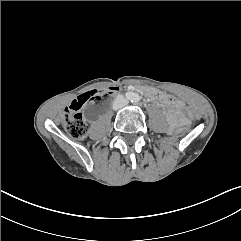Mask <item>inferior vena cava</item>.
Returning <instances> with one entry per match:
<instances>
[{
	"instance_id": "602c4592",
	"label": "inferior vena cava",
	"mask_w": 241,
	"mask_h": 241,
	"mask_svg": "<svg viewBox=\"0 0 241 241\" xmlns=\"http://www.w3.org/2000/svg\"><path fill=\"white\" fill-rule=\"evenodd\" d=\"M128 104V100L123 95H118L113 102V109L118 110Z\"/></svg>"
}]
</instances>
